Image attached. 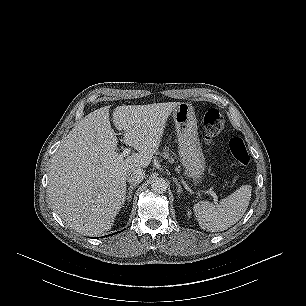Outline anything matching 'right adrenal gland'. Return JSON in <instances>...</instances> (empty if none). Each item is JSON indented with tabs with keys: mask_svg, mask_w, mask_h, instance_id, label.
I'll list each match as a JSON object with an SVG mask.
<instances>
[{
	"mask_svg": "<svg viewBox=\"0 0 306 306\" xmlns=\"http://www.w3.org/2000/svg\"><path fill=\"white\" fill-rule=\"evenodd\" d=\"M136 187V185H131L128 190H127V194H126V199L128 202L131 201V198H132V193H133V189Z\"/></svg>",
	"mask_w": 306,
	"mask_h": 306,
	"instance_id": "1",
	"label": "right adrenal gland"
}]
</instances>
